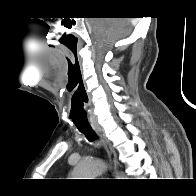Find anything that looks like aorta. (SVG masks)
Segmentation results:
<instances>
[{
  "mask_svg": "<svg viewBox=\"0 0 196 196\" xmlns=\"http://www.w3.org/2000/svg\"><path fill=\"white\" fill-rule=\"evenodd\" d=\"M105 169V163L100 160H82L75 166L72 177H74L73 179H94Z\"/></svg>",
  "mask_w": 196,
  "mask_h": 196,
  "instance_id": "1",
  "label": "aorta"
}]
</instances>
